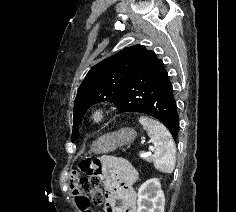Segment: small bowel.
<instances>
[{
	"instance_id": "obj_1",
	"label": "small bowel",
	"mask_w": 236,
	"mask_h": 212,
	"mask_svg": "<svg viewBox=\"0 0 236 212\" xmlns=\"http://www.w3.org/2000/svg\"><path fill=\"white\" fill-rule=\"evenodd\" d=\"M87 174V171H83ZM99 173L108 188L106 212H136V192L133 185L138 179L137 171L125 159L103 157L100 159ZM80 173L74 172L72 192L80 212H93L87 197L79 190Z\"/></svg>"
}]
</instances>
